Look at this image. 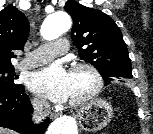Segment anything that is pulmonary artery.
<instances>
[{
	"instance_id": "obj_1",
	"label": "pulmonary artery",
	"mask_w": 153,
	"mask_h": 134,
	"mask_svg": "<svg viewBox=\"0 0 153 134\" xmlns=\"http://www.w3.org/2000/svg\"><path fill=\"white\" fill-rule=\"evenodd\" d=\"M69 49V42L60 38L53 43L41 45L29 53L18 65L20 69L32 68L45 64L55 57L65 54Z\"/></svg>"
}]
</instances>
